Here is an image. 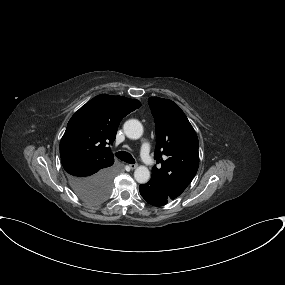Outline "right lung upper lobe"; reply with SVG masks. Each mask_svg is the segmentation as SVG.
I'll list each match as a JSON object with an SVG mask.
<instances>
[{
	"label": "right lung upper lobe",
	"instance_id": "cb5924a9",
	"mask_svg": "<svg viewBox=\"0 0 285 285\" xmlns=\"http://www.w3.org/2000/svg\"><path fill=\"white\" fill-rule=\"evenodd\" d=\"M139 107L136 99L107 94L98 95L82 106L69 120L60 142L64 170L112 165L114 157L108 145L115 140L120 121Z\"/></svg>",
	"mask_w": 285,
	"mask_h": 285
}]
</instances>
